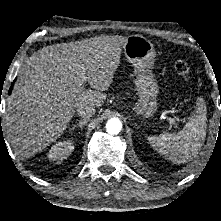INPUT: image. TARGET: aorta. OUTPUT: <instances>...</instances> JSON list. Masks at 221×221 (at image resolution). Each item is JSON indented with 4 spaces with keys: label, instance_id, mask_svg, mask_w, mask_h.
Returning a JSON list of instances; mask_svg holds the SVG:
<instances>
[{
    "label": "aorta",
    "instance_id": "1",
    "mask_svg": "<svg viewBox=\"0 0 221 221\" xmlns=\"http://www.w3.org/2000/svg\"><path fill=\"white\" fill-rule=\"evenodd\" d=\"M122 130V122L118 118H111L106 123V131L111 135H117Z\"/></svg>",
    "mask_w": 221,
    "mask_h": 221
}]
</instances>
